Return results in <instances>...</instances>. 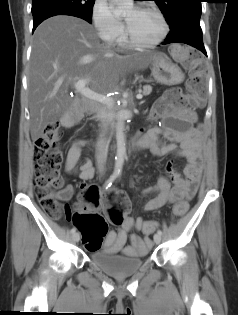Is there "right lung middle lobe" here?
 Listing matches in <instances>:
<instances>
[{"mask_svg": "<svg viewBox=\"0 0 238 315\" xmlns=\"http://www.w3.org/2000/svg\"><path fill=\"white\" fill-rule=\"evenodd\" d=\"M95 0H32V13L45 8H65L92 18Z\"/></svg>", "mask_w": 238, "mask_h": 315, "instance_id": "obj_1", "label": "right lung middle lobe"}]
</instances>
